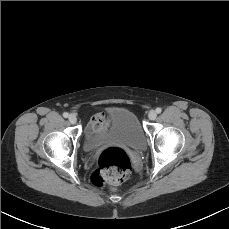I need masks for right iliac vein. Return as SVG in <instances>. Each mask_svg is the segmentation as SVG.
<instances>
[{
  "mask_svg": "<svg viewBox=\"0 0 229 229\" xmlns=\"http://www.w3.org/2000/svg\"><path fill=\"white\" fill-rule=\"evenodd\" d=\"M68 120L70 123L75 124L77 122V117L74 114H70Z\"/></svg>",
  "mask_w": 229,
  "mask_h": 229,
  "instance_id": "obj_1",
  "label": "right iliac vein"
}]
</instances>
